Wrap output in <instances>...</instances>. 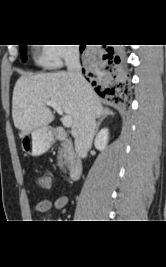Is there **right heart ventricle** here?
Segmentation results:
<instances>
[{
	"label": "right heart ventricle",
	"instance_id": "1",
	"mask_svg": "<svg viewBox=\"0 0 166 267\" xmlns=\"http://www.w3.org/2000/svg\"><path fill=\"white\" fill-rule=\"evenodd\" d=\"M37 62H38V63H43V60H42V58H40V57H37Z\"/></svg>",
	"mask_w": 166,
	"mask_h": 267
}]
</instances>
